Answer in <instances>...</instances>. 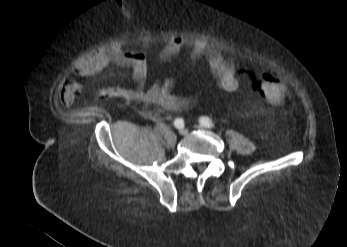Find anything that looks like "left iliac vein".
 <instances>
[{"instance_id": "4c4485c4", "label": "left iliac vein", "mask_w": 347, "mask_h": 247, "mask_svg": "<svg viewBox=\"0 0 347 247\" xmlns=\"http://www.w3.org/2000/svg\"><path fill=\"white\" fill-rule=\"evenodd\" d=\"M198 129H203L204 127L202 125L197 126Z\"/></svg>"}]
</instances>
